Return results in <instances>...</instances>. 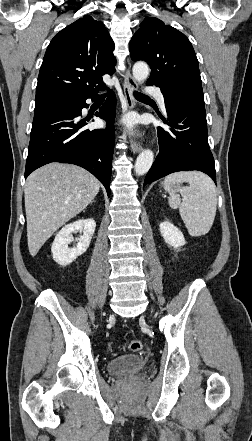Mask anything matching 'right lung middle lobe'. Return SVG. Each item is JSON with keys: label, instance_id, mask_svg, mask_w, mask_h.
Wrapping results in <instances>:
<instances>
[{"label": "right lung middle lobe", "instance_id": "obj_1", "mask_svg": "<svg viewBox=\"0 0 252 441\" xmlns=\"http://www.w3.org/2000/svg\"><path fill=\"white\" fill-rule=\"evenodd\" d=\"M43 102H45V101H42V102H38V103H36V106L41 105Z\"/></svg>", "mask_w": 252, "mask_h": 441}]
</instances>
